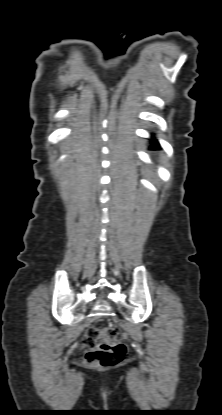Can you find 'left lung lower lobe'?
<instances>
[{
    "label": "left lung lower lobe",
    "mask_w": 222,
    "mask_h": 415,
    "mask_svg": "<svg viewBox=\"0 0 222 415\" xmlns=\"http://www.w3.org/2000/svg\"><path fill=\"white\" fill-rule=\"evenodd\" d=\"M153 137V136H152ZM151 144L153 145V146H155V147H158L159 146V143H158V141L156 140V139H151Z\"/></svg>",
    "instance_id": "0a47b994"
}]
</instances>
